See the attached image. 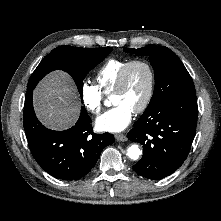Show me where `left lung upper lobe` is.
<instances>
[{
	"label": "left lung upper lobe",
	"instance_id": "obj_1",
	"mask_svg": "<svg viewBox=\"0 0 221 221\" xmlns=\"http://www.w3.org/2000/svg\"><path fill=\"white\" fill-rule=\"evenodd\" d=\"M124 50L129 53L148 56L154 69V93L145 112L151 106L174 97L195 93L194 83L190 74L178 56L169 48L147 46L139 49L125 48Z\"/></svg>",
	"mask_w": 221,
	"mask_h": 221
}]
</instances>
